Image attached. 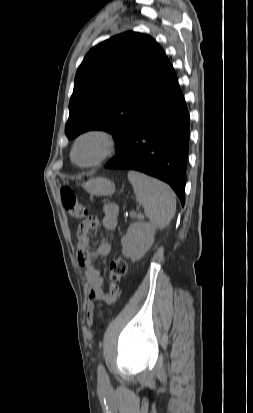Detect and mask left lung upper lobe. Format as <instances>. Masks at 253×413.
<instances>
[{
  "instance_id": "5c2ea615",
  "label": "left lung upper lobe",
  "mask_w": 253,
  "mask_h": 413,
  "mask_svg": "<svg viewBox=\"0 0 253 413\" xmlns=\"http://www.w3.org/2000/svg\"><path fill=\"white\" fill-rule=\"evenodd\" d=\"M170 64L152 37L137 32L116 35L93 47L75 76L67 137L93 129L109 131L117 155L127 125Z\"/></svg>"
}]
</instances>
